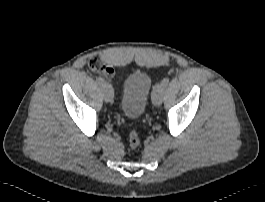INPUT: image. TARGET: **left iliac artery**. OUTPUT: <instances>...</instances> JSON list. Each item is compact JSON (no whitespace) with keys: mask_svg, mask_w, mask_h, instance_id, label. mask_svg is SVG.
<instances>
[{"mask_svg":"<svg viewBox=\"0 0 265 202\" xmlns=\"http://www.w3.org/2000/svg\"><path fill=\"white\" fill-rule=\"evenodd\" d=\"M169 81H170V79L168 77L164 78L160 84L155 85V87L153 89V93H155L161 87L165 88L168 85Z\"/></svg>","mask_w":265,"mask_h":202,"instance_id":"obj_1","label":"left iliac artery"}]
</instances>
